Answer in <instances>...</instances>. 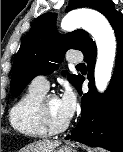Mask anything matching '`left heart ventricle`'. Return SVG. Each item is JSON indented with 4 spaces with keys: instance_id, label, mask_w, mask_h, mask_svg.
<instances>
[{
    "instance_id": "1",
    "label": "left heart ventricle",
    "mask_w": 123,
    "mask_h": 152,
    "mask_svg": "<svg viewBox=\"0 0 123 152\" xmlns=\"http://www.w3.org/2000/svg\"><path fill=\"white\" fill-rule=\"evenodd\" d=\"M48 112L52 121L57 125L64 124L68 121L63 114L59 98L49 100Z\"/></svg>"
}]
</instances>
